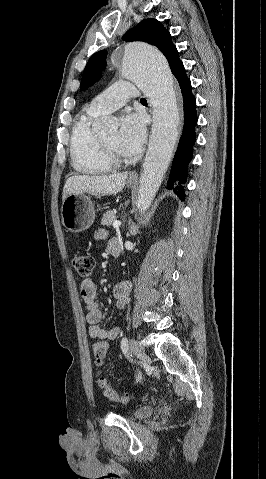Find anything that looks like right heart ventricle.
<instances>
[{
    "label": "right heart ventricle",
    "mask_w": 266,
    "mask_h": 479,
    "mask_svg": "<svg viewBox=\"0 0 266 479\" xmlns=\"http://www.w3.org/2000/svg\"><path fill=\"white\" fill-rule=\"evenodd\" d=\"M98 115L87 109L86 114L78 118L72 129L71 161L74 169L82 174L100 175L113 169L102 153L99 135L92 128V123Z\"/></svg>",
    "instance_id": "obj_1"
}]
</instances>
